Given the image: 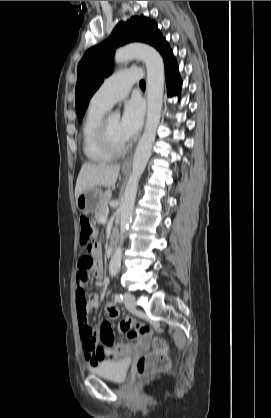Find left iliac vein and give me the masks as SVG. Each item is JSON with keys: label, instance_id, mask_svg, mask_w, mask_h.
<instances>
[{"label": "left iliac vein", "instance_id": "left-iliac-vein-1", "mask_svg": "<svg viewBox=\"0 0 271 418\" xmlns=\"http://www.w3.org/2000/svg\"><path fill=\"white\" fill-rule=\"evenodd\" d=\"M124 304L128 310L130 311L134 310L135 309V296L129 292H126L124 294Z\"/></svg>", "mask_w": 271, "mask_h": 418}]
</instances>
